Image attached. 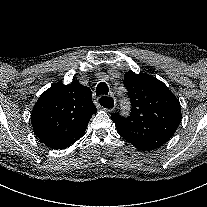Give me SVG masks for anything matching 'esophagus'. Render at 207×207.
<instances>
[{
  "mask_svg": "<svg viewBox=\"0 0 207 207\" xmlns=\"http://www.w3.org/2000/svg\"><path fill=\"white\" fill-rule=\"evenodd\" d=\"M95 104L97 106H100L99 103H98V98L95 100ZM100 104L103 107V109L106 110V111H112L117 106L116 101L114 99H112L111 97H109V96L103 97L100 101Z\"/></svg>",
  "mask_w": 207,
  "mask_h": 207,
  "instance_id": "1",
  "label": "esophagus"
}]
</instances>
